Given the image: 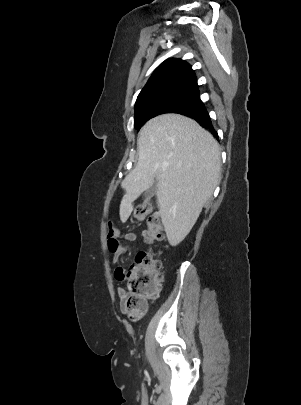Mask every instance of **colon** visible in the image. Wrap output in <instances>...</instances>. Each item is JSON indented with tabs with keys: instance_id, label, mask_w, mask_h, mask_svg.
<instances>
[{
	"instance_id": "colon-1",
	"label": "colon",
	"mask_w": 301,
	"mask_h": 405,
	"mask_svg": "<svg viewBox=\"0 0 301 405\" xmlns=\"http://www.w3.org/2000/svg\"><path fill=\"white\" fill-rule=\"evenodd\" d=\"M134 217L147 220L143 237L149 244L159 242L164 237V227L159 213L150 202H143L134 209ZM118 230L108 226V248L113 252L118 246ZM162 263L151 251H141L128 271V282L121 307L131 321H138L145 313L149 300L158 296L161 288Z\"/></svg>"
}]
</instances>
